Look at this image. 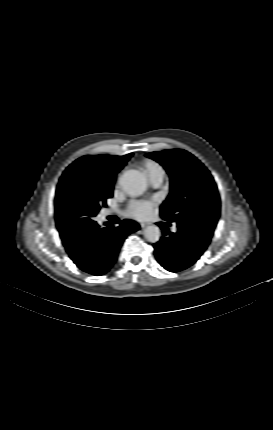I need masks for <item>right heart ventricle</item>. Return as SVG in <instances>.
I'll use <instances>...</instances> for the list:
<instances>
[{"mask_svg": "<svg viewBox=\"0 0 273 430\" xmlns=\"http://www.w3.org/2000/svg\"><path fill=\"white\" fill-rule=\"evenodd\" d=\"M141 166L148 178L157 171H163L162 167L153 160H144Z\"/></svg>", "mask_w": 273, "mask_h": 430, "instance_id": "obj_1", "label": "right heart ventricle"}]
</instances>
